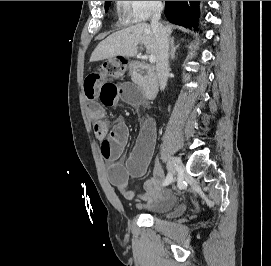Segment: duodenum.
I'll return each mask as SVG.
<instances>
[{
  "instance_id": "obj_1",
  "label": "duodenum",
  "mask_w": 271,
  "mask_h": 266,
  "mask_svg": "<svg viewBox=\"0 0 271 266\" xmlns=\"http://www.w3.org/2000/svg\"><path fill=\"white\" fill-rule=\"evenodd\" d=\"M131 77L148 99H154L157 96L159 83L155 71L150 66L134 61L131 65Z\"/></svg>"
}]
</instances>
